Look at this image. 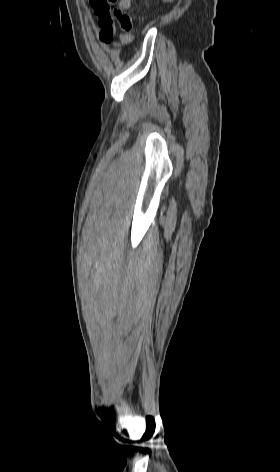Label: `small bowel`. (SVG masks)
I'll use <instances>...</instances> for the list:
<instances>
[{
  "label": "small bowel",
  "mask_w": 280,
  "mask_h": 472,
  "mask_svg": "<svg viewBox=\"0 0 280 472\" xmlns=\"http://www.w3.org/2000/svg\"><path fill=\"white\" fill-rule=\"evenodd\" d=\"M131 0H120L119 7L121 11H126L130 8ZM99 38L101 42L105 45H114L119 46L118 43L114 42L116 29L114 23H110L108 25H101L99 24ZM119 39L122 43H128L131 40L130 35L128 34H120Z\"/></svg>",
  "instance_id": "c3829d8e"
}]
</instances>
